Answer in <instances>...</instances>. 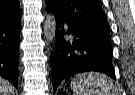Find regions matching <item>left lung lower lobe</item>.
<instances>
[{
  "instance_id": "obj_1",
  "label": "left lung lower lobe",
  "mask_w": 135,
  "mask_h": 95,
  "mask_svg": "<svg viewBox=\"0 0 135 95\" xmlns=\"http://www.w3.org/2000/svg\"><path fill=\"white\" fill-rule=\"evenodd\" d=\"M47 12L53 13L49 8ZM55 19L56 46L51 56L54 91L62 80L81 72L96 71L116 79L110 31L88 28L56 15ZM67 35L73 37L67 39Z\"/></svg>"
}]
</instances>
